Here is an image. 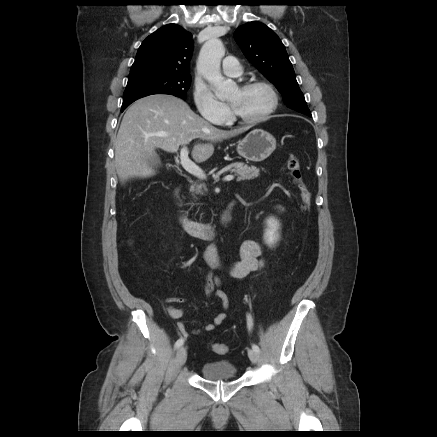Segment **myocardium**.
Listing matches in <instances>:
<instances>
[{
	"mask_svg": "<svg viewBox=\"0 0 437 437\" xmlns=\"http://www.w3.org/2000/svg\"><path fill=\"white\" fill-rule=\"evenodd\" d=\"M252 87H262L264 89H266L270 95V104L267 107V109L261 113L258 116L255 117H243L240 116L239 114H237L234 110V108L232 107V119L234 121L243 123V124H257L259 122H262L264 120H266L277 108L278 105V94L275 90V88L268 82L263 81V80H251V81H247L245 82L241 88H252Z\"/></svg>",
	"mask_w": 437,
	"mask_h": 437,
	"instance_id": "obj_1",
	"label": "myocardium"
}]
</instances>
